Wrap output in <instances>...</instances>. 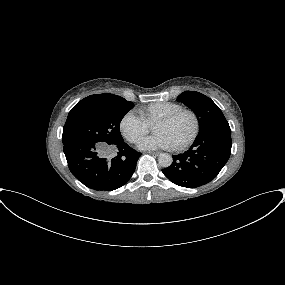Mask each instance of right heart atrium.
I'll return each mask as SVG.
<instances>
[{
    "label": "right heart atrium",
    "mask_w": 285,
    "mask_h": 285,
    "mask_svg": "<svg viewBox=\"0 0 285 285\" xmlns=\"http://www.w3.org/2000/svg\"><path fill=\"white\" fill-rule=\"evenodd\" d=\"M120 129L123 136L134 143L149 131L150 124L134 111H129L122 117Z\"/></svg>",
    "instance_id": "1"
}]
</instances>
